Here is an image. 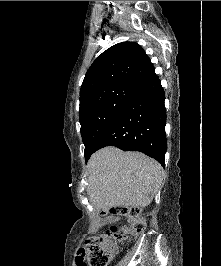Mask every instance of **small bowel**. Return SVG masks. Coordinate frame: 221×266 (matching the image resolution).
<instances>
[{
	"mask_svg": "<svg viewBox=\"0 0 221 266\" xmlns=\"http://www.w3.org/2000/svg\"><path fill=\"white\" fill-rule=\"evenodd\" d=\"M77 250L80 252H74L73 256L76 257V264L75 266H88V264L85 262V256L86 253L85 252H81V251H85L86 247L85 246H78Z\"/></svg>",
	"mask_w": 221,
	"mask_h": 266,
	"instance_id": "obj_1",
	"label": "small bowel"
}]
</instances>
